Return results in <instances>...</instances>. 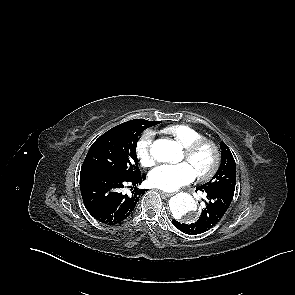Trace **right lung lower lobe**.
<instances>
[{"label":"right lung lower lobe","instance_id":"98d812e1","mask_svg":"<svg viewBox=\"0 0 295 295\" xmlns=\"http://www.w3.org/2000/svg\"><path fill=\"white\" fill-rule=\"evenodd\" d=\"M146 179L145 175L95 174L80 176V190L85 207L99 222L117 224L130 216L146 189L131 188L132 194L122 192L126 184L136 186Z\"/></svg>","mask_w":295,"mask_h":295}]
</instances>
